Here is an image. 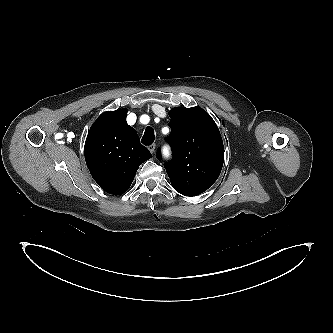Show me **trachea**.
<instances>
[{
    "mask_svg": "<svg viewBox=\"0 0 333 333\" xmlns=\"http://www.w3.org/2000/svg\"><path fill=\"white\" fill-rule=\"evenodd\" d=\"M154 130L151 127L145 129L144 135L141 139V142L145 145H151L154 142Z\"/></svg>",
    "mask_w": 333,
    "mask_h": 333,
    "instance_id": "1",
    "label": "trachea"
}]
</instances>
